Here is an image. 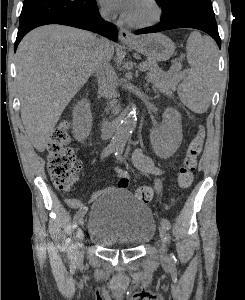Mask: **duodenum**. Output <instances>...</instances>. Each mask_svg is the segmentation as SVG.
I'll use <instances>...</instances> for the list:
<instances>
[{
	"label": "duodenum",
	"mask_w": 245,
	"mask_h": 300,
	"mask_svg": "<svg viewBox=\"0 0 245 300\" xmlns=\"http://www.w3.org/2000/svg\"><path fill=\"white\" fill-rule=\"evenodd\" d=\"M100 124L103 129L105 135L114 134L118 128L119 120L118 119H110L106 115H101Z\"/></svg>",
	"instance_id": "duodenum-1"
}]
</instances>
